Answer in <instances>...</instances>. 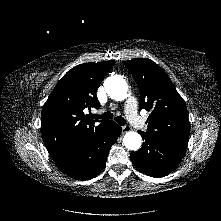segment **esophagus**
<instances>
[{
    "instance_id": "obj_1",
    "label": "esophagus",
    "mask_w": 221,
    "mask_h": 221,
    "mask_svg": "<svg viewBox=\"0 0 221 221\" xmlns=\"http://www.w3.org/2000/svg\"><path fill=\"white\" fill-rule=\"evenodd\" d=\"M128 131H130V127L129 126H127V125L122 126V133H126Z\"/></svg>"
}]
</instances>
